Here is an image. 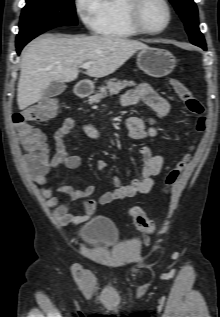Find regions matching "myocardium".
<instances>
[{"label":"myocardium","mask_w":220,"mask_h":317,"mask_svg":"<svg viewBox=\"0 0 220 317\" xmlns=\"http://www.w3.org/2000/svg\"><path fill=\"white\" fill-rule=\"evenodd\" d=\"M165 7L167 12V20L165 25L160 29H150L148 28L142 19V9L147 2V0H129L127 5L128 18L131 25L140 33L156 35L163 33L171 24L173 12L172 7L168 0H159Z\"/></svg>","instance_id":"f54148a6"}]
</instances>
